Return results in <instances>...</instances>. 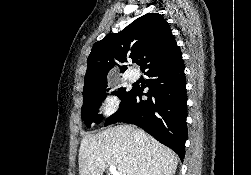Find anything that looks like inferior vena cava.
I'll use <instances>...</instances> for the list:
<instances>
[{
	"label": "inferior vena cava",
	"mask_w": 251,
	"mask_h": 175,
	"mask_svg": "<svg viewBox=\"0 0 251 175\" xmlns=\"http://www.w3.org/2000/svg\"><path fill=\"white\" fill-rule=\"evenodd\" d=\"M135 137H139L138 133H135Z\"/></svg>",
	"instance_id": "obj_1"
}]
</instances>
